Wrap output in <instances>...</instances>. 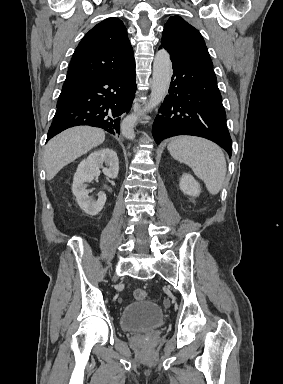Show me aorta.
I'll return each mask as SVG.
<instances>
[{
	"mask_svg": "<svg viewBox=\"0 0 283 384\" xmlns=\"http://www.w3.org/2000/svg\"><path fill=\"white\" fill-rule=\"evenodd\" d=\"M172 76V62L169 53L165 49L159 50L153 63V79L149 102L137 113L124 118L121 123L122 135L127 139H134V126L145 112L158 106L168 93Z\"/></svg>",
	"mask_w": 283,
	"mask_h": 384,
	"instance_id": "762f6f07",
	"label": "aorta"
}]
</instances>
